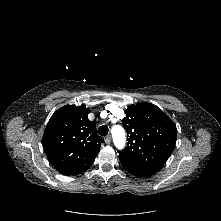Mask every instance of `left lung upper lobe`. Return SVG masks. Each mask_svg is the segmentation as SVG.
Segmentation results:
<instances>
[{"mask_svg":"<svg viewBox=\"0 0 221 221\" xmlns=\"http://www.w3.org/2000/svg\"><path fill=\"white\" fill-rule=\"evenodd\" d=\"M123 126L127 147L119 151L122 166L162 168L173 152L177 137L174 122L157 106L143 102L125 110Z\"/></svg>","mask_w":221,"mask_h":221,"instance_id":"1","label":"left lung upper lobe"}]
</instances>
